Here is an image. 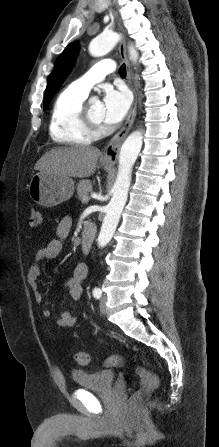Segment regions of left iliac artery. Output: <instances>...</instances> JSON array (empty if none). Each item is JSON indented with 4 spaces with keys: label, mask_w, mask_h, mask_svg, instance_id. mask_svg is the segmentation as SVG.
I'll use <instances>...</instances> for the list:
<instances>
[{
    "label": "left iliac artery",
    "mask_w": 219,
    "mask_h": 447,
    "mask_svg": "<svg viewBox=\"0 0 219 447\" xmlns=\"http://www.w3.org/2000/svg\"><path fill=\"white\" fill-rule=\"evenodd\" d=\"M101 295H102V291H101L100 289H94V290H93V296H94L96 299H99V298L101 297Z\"/></svg>",
    "instance_id": "1"
}]
</instances>
